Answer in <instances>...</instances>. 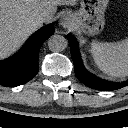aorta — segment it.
<instances>
[{
    "instance_id": "obj_1",
    "label": "aorta",
    "mask_w": 128,
    "mask_h": 128,
    "mask_svg": "<svg viewBox=\"0 0 128 128\" xmlns=\"http://www.w3.org/2000/svg\"><path fill=\"white\" fill-rule=\"evenodd\" d=\"M68 45L67 39L61 35H52L48 39V47L53 52H61Z\"/></svg>"
}]
</instances>
